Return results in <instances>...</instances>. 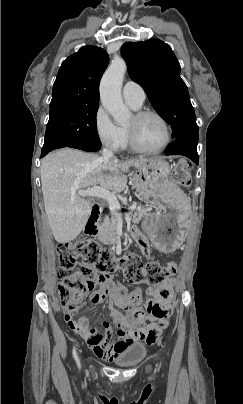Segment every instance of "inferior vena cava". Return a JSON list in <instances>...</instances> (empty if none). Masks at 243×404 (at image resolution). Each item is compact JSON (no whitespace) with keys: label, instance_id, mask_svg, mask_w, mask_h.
I'll return each mask as SVG.
<instances>
[{"label":"inferior vena cava","instance_id":"602c4592","mask_svg":"<svg viewBox=\"0 0 243 404\" xmlns=\"http://www.w3.org/2000/svg\"><path fill=\"white\" fill-rule=\"evenodd\" d=\"M113 156L114 154L111 152V150H106V148H104L102 152V158H104V160H110V158H113Z\"/></svg>","mask_w":243,"mask_h":404}]
</instances>
